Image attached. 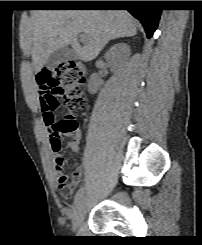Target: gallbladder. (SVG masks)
Listing matches in <instances>:
<instances>
[{
	"label": "gallbladder",
	"instance_id": "gallbladder-1",
	"mask_svg": "<svg viewBox=\"0 0 202 245\" xmlns=\"http://www.w3.org/2000/svg\"><path fill=\"white\" fill-rule=\"evenodd\" d=\"M75 51L69 47H62L55 50L47 59L46 67L52 69L59 64L76 59Z\"/></svg>",
	"mask_w": 202,
	"mask_h": 245
}]
</instances>
